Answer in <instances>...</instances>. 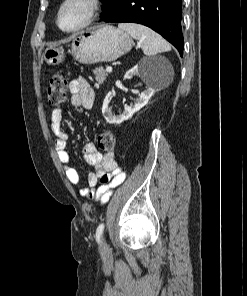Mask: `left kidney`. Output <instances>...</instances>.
Masks as SVG:
<instances>
[{"mask_svg": "<svg viewBox=\"0 0 247 296\" xmlns=\"http://www.w3.org/2000/svg\"><path fill=\"white\" fill-rule=\"evenodd\" d=\"M169 62L163 58L156 59H142L135 67L130 69L124 76L125 79H131L137 75L148 85V88L139 94L134 104L125 105V110L119 114H112L109 103L111 100V93L107 94L104 99L102 114L105 120L110 124H120L128 120L134 113L144 107L152 95L155 93V78L160 72L161 68H168ZM157 79V78H156Z\"/></svg>", "mask_w": 247, "mask_h": 296, "instance_id": "obj_1", "label": "left kidney"}]
</instances>
